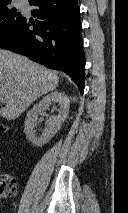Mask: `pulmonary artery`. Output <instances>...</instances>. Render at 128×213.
Returning <instances> with one entry per match:
<instances>
[{
  "label": "pulmonary artery",
  "instance_id": "pulmonary-artery-1",
  "mask_svg": "<svg viewBox=\"0 0 128 213\" xmlns=\"http://www.w3.org/2000/svg\"><path fill=\"white\" fill-rule=\"evenodd\" d=\"M20 6H21V7H26V2H25V0H21Z\"/></svg>",
  "mask_w": 128,
  "mask_h": 213
}]
</instances>
